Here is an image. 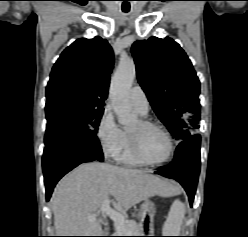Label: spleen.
<instances>
[{
    "instance_id": "obj_1",
    "label": "spleen",
    "mask_w": 248,
    "mask_h": 237,
    "mask_svg": "<svg viewBox=\"0 0 248 237\" xmlns=\"http://www.w3.org/2000/svg\"><path fill=\"white\" fill-rule=\"evenodd\" d=\"M184 216L185 205L180 200H175L164 223L163 234L165 236H179Z\"/></svg>"
}]
</instances>
